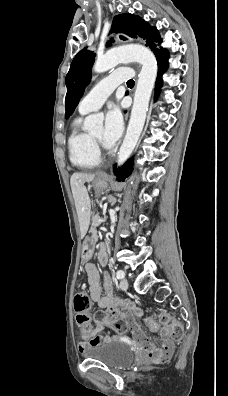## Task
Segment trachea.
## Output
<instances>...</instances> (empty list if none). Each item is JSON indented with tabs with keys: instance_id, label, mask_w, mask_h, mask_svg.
<instances>
[{
	"instance_id": "3493384b",
	"label": "trachea",
	"mask_w": 228,
	"mask_h": 396,
	"mask_svg": "<svg viewBox=\"0 0 228 396\" xmlns=\"http://www.w3.org/2000/svg\"><path fill=\"white\" fill-rule=\"evenodd\" d=\"M130 84H134V81L133 80H128L127 81V85H130Z\"/></svg>"
}]
</instances>
